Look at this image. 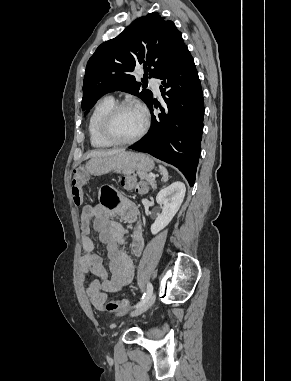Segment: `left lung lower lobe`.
Listing matches in <instances>:
<instances>
[{"instance_id":"left-lung-lower-lobe-1","label":"left lung lower lobe","mask_w":291,"mask_h":381,"mask_svg":"<svg viewBox=\"0 0 291 381\" xmlns=\"http://www.w3.org/2000/svg\"><path fill=\"white\" fill-rule=\"evenodd\" d=\"M159 79L168 113L160 106L162 114L155 117L152 99L148 105L152 114L151 129L129 148L174 165L193 186L201 151L204 100L198 72L188 48Z\"/></svg>"}]
</instances>
